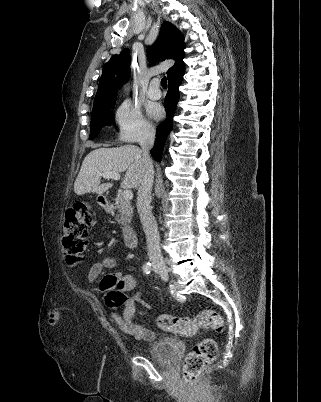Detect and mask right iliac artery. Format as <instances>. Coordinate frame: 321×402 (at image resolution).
I'll use <instances>...</instances> for the list:
<instances>
[{
    "label": "right iliac artery",
    "mask_w": 321,
    "mask_h": 402,
    "mask_svg": "<svg viewBox=\"0 0 321 402\" xmlns=\"http://www.w3.org/2000/svg\"><path fill=\"white\" fill-rule=\"evenodd\" d=\"M151 270H152L151 264L148 263L143 266L144 273L149 274Z\"/></svg>",
    "instance_id": "1"
}]
</instances>
